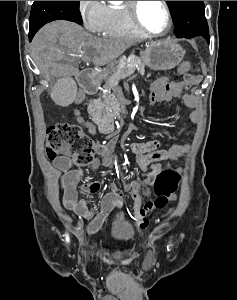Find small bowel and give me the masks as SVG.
I'll return each mask as SVG.
<instances>
[{"instance_id": "1", "label": "small bowel", "mask_w": 237, "mask_h": 300, "mask_svg": "<svg viewBox=\"0 0 237 300\" xmlns=\"http://www.w3.org/2000/svg\"><path fill=\"white\" fill-rule=\"evenodd\" d=\"M201 80V75H193L192 83L180 85L177 89L166 96L162 102H167L173 97H180L186 106L193 108L189 112V119L191 121L197 120V112L194 109V100L191 95L183 93L182 88L186 90L197 84ZM170 83L168 77H162L150 84V92ZM83 99L80 93L76 99L79 102ZM78 121L88 127L91 133H96L97 129L91 123L79 117ZM161 142L157 139L146 142H132L129 145V151L135 156V163L140 170L148 173V178L145 182H133L125 184L120 187L116 182L110 185V192L105 194L100 201V208L97 213H94L88 206L87 202L79 199L77 188L80 185L81 190L94 195L102 186L100 180L81 184L86 171H95L98 168H110L119 174L120 169L117 166L116 156L113 153V143L103 145L98 144L95 147V157L88 167L85 169H77L72 167V160L68 155H61L54 159L53 164L57 170L62 172L61 177V191L63 194V204L66 209L75 212L79 217L89 220L87 231L90 234L98 232L106 221L110 212L123 203V192H130L135 205V220L141 229L148 225L147 213L152 208L151 204L144 207L141 206V198L138 189L143 184H148L152 176L163 169H170L164 167L161 161L177 160L186 154V149L183 146H170L168 148H160ZM122 175V174H121ZM123 177V175H122Z\"/></svg>"}]
</instances>
